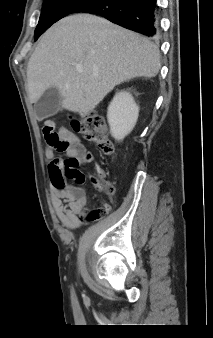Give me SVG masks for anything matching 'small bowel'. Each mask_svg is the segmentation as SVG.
I'll return each instance as SVG.
<instances>
[{"label":"small bowel","instance_id":"obj_1","mask_svg":"<svg viewBox=\"0 0 213 338\" xmlns=\"http://www.w3.org/2000/svg\"><path fill=\"white\" fill-rule=\"evenodd\" d=\"M43 134L46 141L45 157L47 161L56 160L63 164L59 145L68 141L70 147L63 151L66 159L75 157L81 164L94 160V154L88 152L79 138L69 129L61 127L56 131V124L47 120L43 124ZM51 203L58 220L67 228H78L83 222H88L89 212L86 213L88 197L82 187L66 184L61 188H51Z\"/></svg>","mask_w":213,"mask_h":338}]
</instances>
